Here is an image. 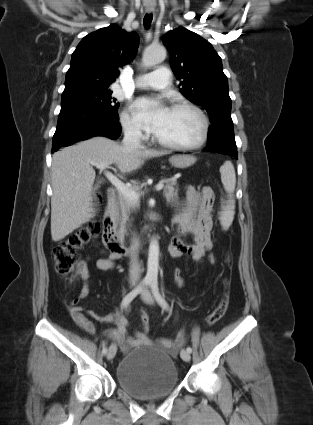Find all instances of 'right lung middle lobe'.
Here are the masks:
<instances>
[{"instance_id": "dd1d6c3e", "label": "right lung middle lobe", "mask_w": 313, "mask_h": 425, "mask_svg": "<svg viewBox=\"0 0 313 425\" xmlns=\"http://www.w3.org/2000/svg\"><path fill=\"white\" fill-rule=\"evenodd\" d=\"M112 93L109 88L75 90L63 93L61 103L74 101L117 113L119 103L111 96Z\"/></svg>"}]
</instances>
